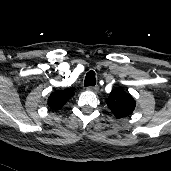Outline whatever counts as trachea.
<instances>
[{"instance_id":"trachea-1","label":"trachea","mask_w":171,"mask_h":171,"mask_svg":"<svg viewBox=\"0 0 171 171\" xmlns=\"http://www.w3.org/2000/svg\"><path fill=\"white\" fill-rule=\"evenodd\" d=\"M96 84V74L93 70H90L85 77L84 85L87 86H95Z\"/></svg>"}]
</instances>
